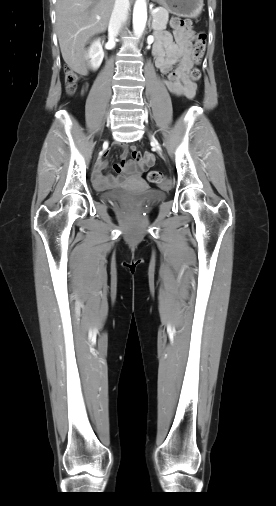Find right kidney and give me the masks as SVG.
I'll use <instances>...</instances> for the list:
<instances>
[{"label": "right kidney", "instance_id": "right-kidney-1", "mask_svg": "<svg viewBox=\"0 0 276 506\" xmlns=\"http://www.w3.org/2000/svg\"><path fill=\"white\" fill-rule=\"evenodd\" d=\"M103 57L104 53L102 50V46L100 45L99 41H94L87 53V58L90 59L89 64L93 70L99 68V66L102 63Z\"/></svg>", "mask_w": 276, "mask_h": 506}]
</instances>
